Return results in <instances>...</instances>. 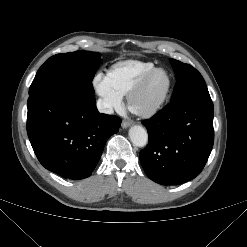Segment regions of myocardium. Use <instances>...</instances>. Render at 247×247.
<instances>
[{
    "mask_svg": "<svg viewBox=\"0 0 247 247\" xmlns=\"http://www.w3.org/2000/svg\"><path fill=\"white\" fill-rule=\"evenodd\" d=\"M164 73L167 78V85L163 93L148 102H143L142 99L145 96L153 78L158 73ZM172 89V77L170 73L161 67H155L149 73H147L139 84L128 95V107L130 111L138 116L151 117L161 110L169 98Z\"/></svg>",
    "mask_w": 247,
    "mask_h": 247,
    "instance_id": "obj_1",
    "label": "myocardium"
}]
</instances>
